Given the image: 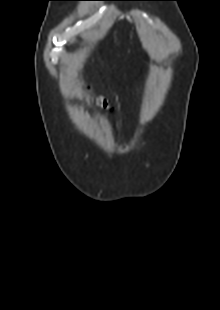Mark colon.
Masks as SVG:
<instances>
[{"label":"colon","mask_w":220,"mask_h":310,"mask_svg":"<svg viewBox=\"0 0 220 310\" xmlns=\"http://www.w3.org/2000/svg\"><path fill=\"white\" fill-rule=\"evenodd\" d=\"M87 99L88 101L93 104L94 106L101 108L103 110H109L110 107L106 100L100 96H93L90 90L87 88Z\"/></svg>","instance_id":"obj_1"}]
</instances>
